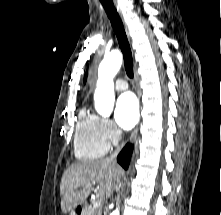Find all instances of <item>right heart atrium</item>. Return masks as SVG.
Returning a JSON list of instances; mask_svg holds the SVG:
<instances>
[{"label": "right heart atrium", "instance_id": "1", "mask_svg": "<svg viewBox=\"0 0 221 215\" xmlns=\"http://www.w3.org/2000/svg\"><path fill=\"white\" fill-rule=\"evenodd\" d=\"M100 130L107 143H117L121 139V132L115 124L106 118L100 119Z\"/></svg>", "mask_w": 221, "mask_h": 215}]
</instances>
